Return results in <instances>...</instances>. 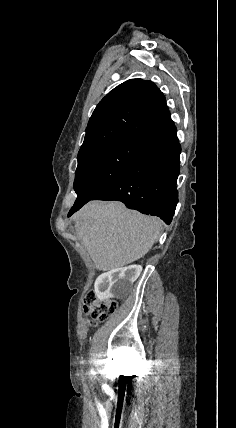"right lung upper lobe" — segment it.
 <instances>
[{
  "label": "right lung upper lobe",
  "instance_id": "obj_1",
  "mask_svg": "<svg viewBox=\"0 0 236 428\" xmlns=\"http://www.w3.org/2000/svg\"><path fill=\"white\" fill-rule=\"evenodd\" d=\"M171 119L166 100L148 80L131 79L110 91L89 119L78 161L129 140H142Z\"/></svg>",
  "mask_w": 236,
  "mask_h": 428
}]
</instances>
